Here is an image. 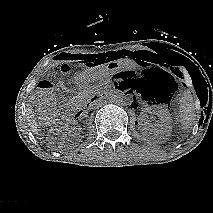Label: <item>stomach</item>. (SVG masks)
<instances>
[{
    "label": "stomach",
    "instance_id": "1",
    "mask_svg": "<svg viewBox=\"0 0 213 213\" xmlns=\"http://www.w3.org/2000/svg\"><path fill=\"white\" fill-rule=\"evenodd\" d=\"M128 62L124 58H119L110 62L105 63L104 65L101 63H97L91 68L88 69L87 75H82L78 81L80 83L88 82L90 79L94 80L97 78L98 75L103 73L104 71L107 73H111L120 69L126 68Z\"/></svg>",
    "mask_w": 213,
    "mask_h": 213
}]
</instances>
